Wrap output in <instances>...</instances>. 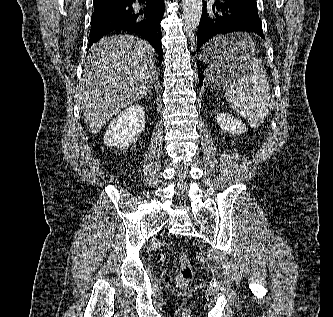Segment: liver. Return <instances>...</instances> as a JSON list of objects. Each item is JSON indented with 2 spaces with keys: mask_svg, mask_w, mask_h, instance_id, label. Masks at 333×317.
<instances>
[{
  "mask_svg": "<svg viewBox=\"0 0 333 317\" xmlns=\"http://www.w3.org/2000/svg\"><path fill=\"white\" fill-rule=\"evenodd\" d=\"M154 56L148 42L131 35L105 37L91 47L77 99L92 134L151 89Z\"/></svg>",
  "mask_w": 333,
  "mask_h": 317,
  "instance_id": "obj_1",
  "label": "liver"
}]
</instances>
